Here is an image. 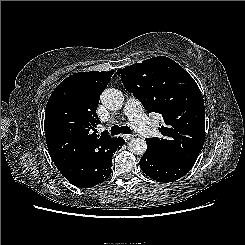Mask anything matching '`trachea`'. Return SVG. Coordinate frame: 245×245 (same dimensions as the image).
Here are the masks:
<instances>
[{"label":"trachea","mask_w":245,"mask_h":245,"mask_svg":"<svg viewBox=\"0 0 245 245\" xmlns=\"http://www.w3.org/2000/svg\"><path fill=\"white\" fill-rule=\"evenodd\" d=\"M110 132H111V135L112 136L118 135L120 133H122V134H130L131 129L128 126H122V127H120V126L114 125L111 128V131Z\"/></svg>","instance_id":"3493384b"}]
</instances>
